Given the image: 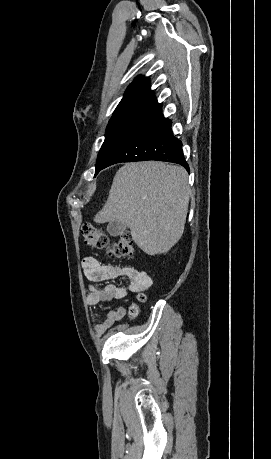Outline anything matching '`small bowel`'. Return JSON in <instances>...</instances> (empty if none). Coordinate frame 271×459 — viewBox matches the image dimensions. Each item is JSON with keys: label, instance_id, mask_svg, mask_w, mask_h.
<instances>
[{"label": "small bowel", "instance_id": "obj_1", "mask_svg": "<svg viewBox=\"0 0 271 459\" xmlns=\"http://www.w3.org/2000/svg\"><path fill=\"white\" fill-rule=\"evenodd\" d=\"M82 269L90 281L89 292L86 296L88 305H97L106 301L119 300L129 293H138L146 290L150 284V277L144 272L131 266L103 265L97 258L88 256L82 261ZM118 278H127L128 285L119 287L115 284H107L103 288H96L93 283ZM126 309L123 306L111 311L106 318L95 327V333L102 335L108 331L116 322L123 319Z\"/></svg>", "mask_w": 271, "mask_h": 459}]
</instances>
